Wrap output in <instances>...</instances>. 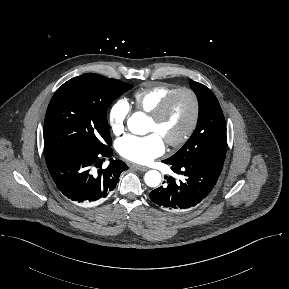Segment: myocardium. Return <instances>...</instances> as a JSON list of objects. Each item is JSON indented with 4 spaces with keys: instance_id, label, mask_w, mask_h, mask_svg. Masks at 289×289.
<instances>
[{
    "instance_id": "obj_1",
    "label": "myocardium",
    "mask_w": 289,
    "mask_h": 289,
    "mask_svg": "<svg viewBox=\"0 0 289 289\" xmlns=\"http://www.w3.org/2000/svg\"><path fill=\"white\" fill-rule=\"evenodd\" d=\"M180 94H188L191 97L193 101V115H192V119L190 121L189 126L180 137L174 140L165 141L166 144L172 148H177V147L184 145L193 136V134L195 133L197 129L199 119H200V113H201V104H200V99L197 93L191 88H186V87L178 88L177 90L169 94L159 104V106L149 114V117L156 122L162 120L167 114V112L169 111L175 98L179 96Z\"/></svg>"
}]
</instances>
